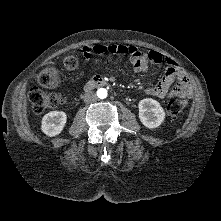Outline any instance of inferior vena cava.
I'll return each mask as SVG.
<instances>
[{"mask_svg":"<svg viewBox=\"0 0 221 221\" xmlns=\"http://www.w3.org/2000/svg\"><path fill=\"white\" fill-rule=\"evenodd\" d=\"M83 99L86 103H92L97 100V96L94 92H87L84 94Z\"/></svg>","mask_w":221,"mask_h":221,"instance_id":"inferior-vena-cava-1","label":"inferior vena cava"}]
</instances>
